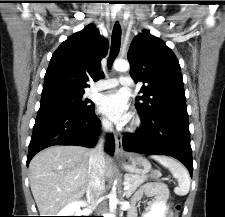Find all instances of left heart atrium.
I'll list each match as a JSON object with an SVG mask.
<instances>
[{"label":"left heart atrium","mask_w":225,"mask_h":217,"mask_svg":"<svg viewBox=\"0 0 225 217\" xmlns=\"http://www.w3.org/2000/svg\"><path fill=\"white\" fill-rule=\"evenodd\" d=\"M99 110L113 122L123 124L130 116L128 97L120 91L109 92L100 98Z\"/></svg>","instance_id":"obj_1"}]
</instances>
